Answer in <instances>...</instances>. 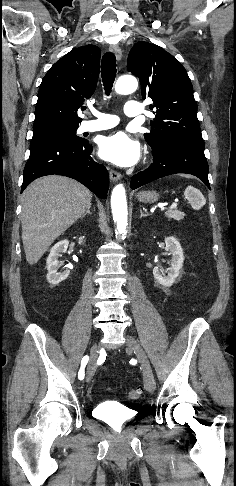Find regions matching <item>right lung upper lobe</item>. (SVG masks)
I'll return each instance as SVG.
<instances>
[{"mask_svg":"<svg viewBox=\"0 0 236 486\" xmlns=\"http://www.w3.org/2000/svg\"><path fill=\"white\" fill-rule=\"evenodd\" d=\"M101 51L88 45L73 49L59 59L42 79L34 125L79 124L77 111L91 97L99 77Z\"/></svg>","mask_w":236,"mask_h":486,"instance_id":"obj_1","label":"right lung upper lobe"}]
</instances>
